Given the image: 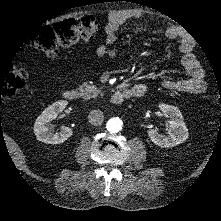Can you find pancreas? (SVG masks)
I'll return each instance as SVG.
<instances>
[{
  "instance_id": "1",
  "label": "pancreas",
  "mask_w": 221,
  "mask_h": 221,
  "mask_svg": "<svg viewBox=\"0 0 221 221\" xmlns=\"http://www.w3.org/2000/svg\"><path fill=\"white\" fill-rule=\"evenodd\" d=\"M78 90L84 100L96 98L98 95L103 96L101 89L97 88L95 85H89L87 83L80 85Z\"/></svg>"
}]
</instances>
